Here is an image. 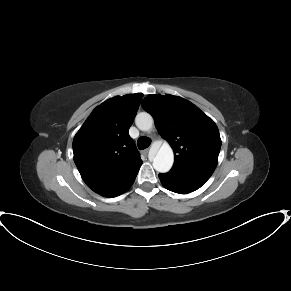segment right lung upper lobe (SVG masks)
<instances>
[{"label":"right lung upper lobe","mask_w":291,"mask_h":291,"mask_svg":"<svg viewBox=\"0 0 291 291\" xmlns=\"http://www.w3.org/2000/svg\"><path fill=\"white\" fill-rule=\"evenodd\" d=\"M143 94L113 97L96 107L73 140L74 162L84 182L104 197L128 189L142 164L129 128Z\"/></svg>","instance_id":"obj_1"}]
</instances>
